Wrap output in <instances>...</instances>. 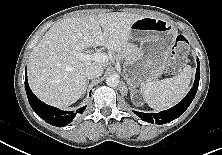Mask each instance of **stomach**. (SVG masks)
Listing matches in <instances>:
<instances>
[{
  "label": "stomach",
  "instance_id": "stomach-1",
  "mask_svg": "<svg viewBox=\"0 0 222 155\" xmlns=\"http://www.w3.org/2000/svg\"><path fill=\"white\" fill-rule=\"evenodd\" d=\"M176 37V27L164 19L142 17L135 21L130 40L140 41V47L134 46L125 63L127 84L137 87L160 77Z\"/></svg>",
  "mask_w": 222,
  "mask_h": 155
}]
</instances>
